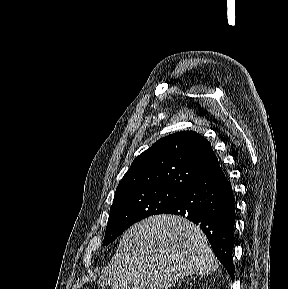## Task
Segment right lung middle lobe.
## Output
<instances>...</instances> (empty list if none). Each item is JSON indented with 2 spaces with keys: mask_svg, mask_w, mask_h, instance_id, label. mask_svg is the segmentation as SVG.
<instances>
[{
  "mask_svg": "<svg viewBox=\"0 0 288 289\" xmlns=\"http://www.w3.org/2000/svg\"><path fill=\"white\" fill-rule=\"evenodd\" d=\"M185 189L156 187L133 189L114 196L103 244L114 241L125 229L150 215L161 214L181 199Z\"/></svg>",
  "mask_w": 288,
  "mask_h": 289,
  "instance_id": "obj_1",
  "label": "right lung middle lobe"
}]
</instances>
